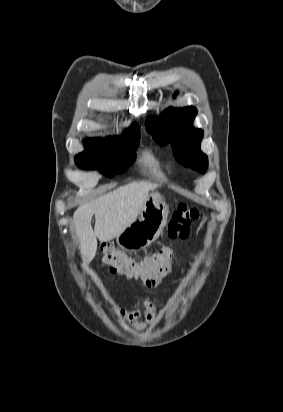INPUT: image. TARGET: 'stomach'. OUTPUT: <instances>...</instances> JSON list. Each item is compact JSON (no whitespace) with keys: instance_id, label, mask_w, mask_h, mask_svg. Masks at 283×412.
<instances>
[{"instance_id":"stomach-1","label":"stomach","mask_w":283,"mask_h":412,"mask_svg":"<svg viewBox=\"0 0 283 412\" xmlns=\"http://www.w3.org/2000/svg\"><path fill=\"white\" fill-rule=\"evenodd\" d=\"M169 207L159 193L146 200L140 217L116 237L125 250H140L153 243L162 233L168 219Z\"/></svg>"}]
</instances>
